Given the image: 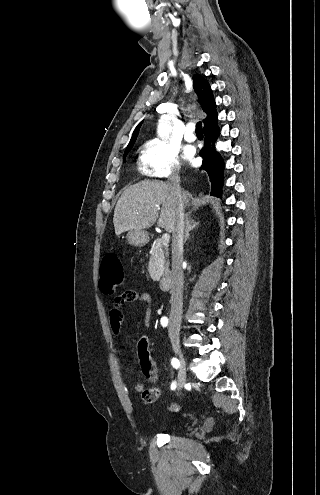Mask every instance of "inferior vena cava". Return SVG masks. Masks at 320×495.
Wrapping results in <instances>:
<instances>
[{
  "label": "inferior vena cava",
  "instance_id": "1",
  "mask_svg": "<svg viewBox=\"0 0 320 495\" xmlns=\"http://www.w3.org/2000/svg\"><path fill=\"white\" fill-rule=\"evenodd\" d=\"M168 184L177 201L176 222L172 232L170 331H179L183 313L184 275L182 270V254L185 229L183 194L180 187L179 171H175L171 175Z\"/></svg>",
  "mask_w": 320,
  "mask_h": 495
}]
</instances>
